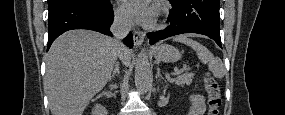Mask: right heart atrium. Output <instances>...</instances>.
I'll return each instance as SVG.
<instances>
[{"mask_svg": "<svg viewBox=\"0 0 285 115\" xmlns=\"http://www.w3.org/2000/svg\"><path fill=\"white\" fill-rule=\"evenodd\" d=\"M115 16L118 22L127 24L130 22L128 14L122 9H116Z\"/></svg>", "mask_w": 285, "mask_h": 115, "instance_id": "d8ad5b80", "label": "right heart atrium"}]
</instances>
